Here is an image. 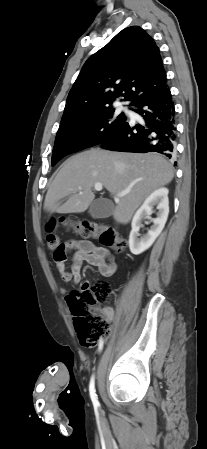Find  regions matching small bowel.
<instances>
[{
  "mask_svg": "<svg viewBox=\"0 0 207 449\" xmlns=\"http://www.w3.org/2000/svg\"><path fill=\"white\" fill-rule=\"evenodd\" d=\"M66 250L68 252L74 251L70 270L66 269L64 263H57V268L60 273V278L63 282H73L79 284L82 275V264H87L97 267L100 274L104 277L112 276L117 268V263L110 250L105 247L94 245L89 240L74 239L66 243ZM62 294L66 293L64 287H60ZM107 316L111 317V312L107 311Z\"/></svg>",
  "mask_w": 207,
  "mask_h": 449,
  "instance_id": "small-bowel-1",
  "label": "small bowel"
}]
</instances>
